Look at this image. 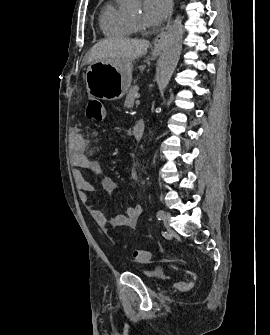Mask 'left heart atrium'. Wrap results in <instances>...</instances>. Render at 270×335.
I'll return each instance as SVG.
<instances>
[{"label": "left heart atrium", "mask_w": 270, "mask_h": 335, "mask_svg": "<svg viewBox=\"0 0 270 335\" xmlns=\"http://www.w3.org/2000/svg\"><path fill=\"white\" fill-rule=\"evenodd\" d=\"M144 13L142 22L147 29L146 35L151 37L162 26L164 20L170 12V4L168 0H145Z\"/></svg>", "instance_id": "1"}]
</instances>
